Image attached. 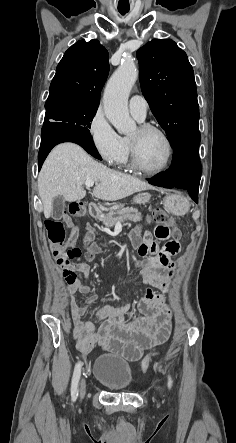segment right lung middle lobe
Returning <instances> with one entry per match:
<instances>
[{
	"label": "right lung middle lobe",
	"instance_id": "obj_1",
	"mask_svg": "<svg viewBox=\"0 0 236 443\" xmlns=\"http://www.w3.org/2000/svg\"><path fill=\"white\" fill-rule=\"evenodd\" d=\"M44 125L51 122L70 124L81 134L90 135L89 128L98 106H90L70 100H56L45 104Z\"/></svg>",
	"mask_w": 236,
	"mask_h": 443
}]
</instances>
